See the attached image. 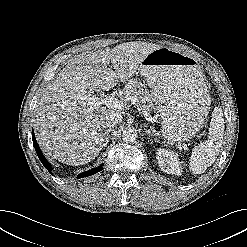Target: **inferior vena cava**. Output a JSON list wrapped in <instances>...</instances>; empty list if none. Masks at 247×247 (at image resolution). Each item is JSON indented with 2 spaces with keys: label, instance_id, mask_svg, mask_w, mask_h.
<instances>
[{
  "label": "inferior vena cava",
  "instance_id": "inferior-vena-cava-1",
  "mask_svg": "<svg viewBox=\"0 0 247 247\" xmlns=\"http://www.w3.org/2000/svg\"><path fill=\"white\" fill-rule=\"evenodd\" d=\"M122 121V116L118 112H110L105 117V127L111 128L116 126Z\"/></svg>",
  "mask_w": 247,
  "mask_h": 247
}]
</instances>
